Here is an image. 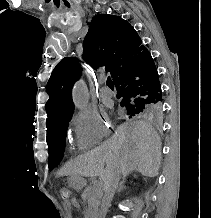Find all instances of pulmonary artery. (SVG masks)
<instances>
[{
    "label": "pulmonary artery",
    "instance_id": "pulmonary-artery-1",
    "mask_svg": "<svg viewBox=\"0 0 211 218\" xmlns=\"http://www.w3.org/2000/svg\"><path fill=\"white\" fill-rule=\"evenodd\" d=\"M101 83L102 84H105L106 83V79L105 78H102L101 79ZM100 94H101V97L103 98H110L114 95L113 91L106 85H104L101 90H100Z\"/></svg>",
    "mask_w": 211,
    "mask_h": 218
}]
</instances>
